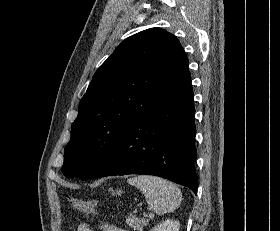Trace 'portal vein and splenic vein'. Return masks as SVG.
<instances>
[{
  "label": "portal vein and splenic vein",
  "mask_w": 280,
  "mask_h": 231,
  "mask_svg": "<svg viewBox=\"0 0 280 231\" xmlns=\"http://www.w3.org/2000/svg\"><path fill=\"white\" fill-rule=\"evenodd\" d=\"M149 217H154L153 213H149Z\"/></svg>",
  "instance_id": "portal-vein-and-splenic-vein-1"
}]
</instances>
